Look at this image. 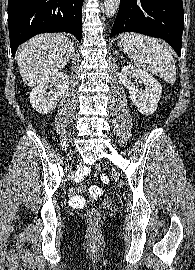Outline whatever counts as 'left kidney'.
<instances>
[{"label":"left kidney","instance_id":"left-kidney-1","mask_svg":"<svg viewBox=\"0 0 195 270\" xmlns=\"http://www.w3.org/2000/svg\"><path fill=\"white\" fill-rule=\"evenodd\" d=\"M120 79L129 90L130 97L140 113L150 115L156 111L162 94V87L152 75L133 65H126L121 70ZM133 79L144 84L145 89L140 90L135 87L132 82Z\"/></svg>","mask_w":195,"mask_h":270}]
</instances>
